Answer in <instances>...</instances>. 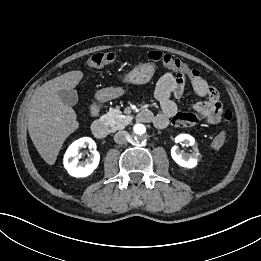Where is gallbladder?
I'll return each instance as SVG.
<instances>
[{"label": "gallbladder", "instance_id": "1", "mask_svg": "<svg viewBox=\"0 0 261 261\" xmlns=\"http://www.w3.org/2000/svg\"><path fill=\"white\" fill-rule=\"evenodd\" d=\"M58 96L62 102L68 106H73L78 102V95L75 90H59Z\"/></svg>", "mask_w": 261, "mask_h": 261}]
</instances>
